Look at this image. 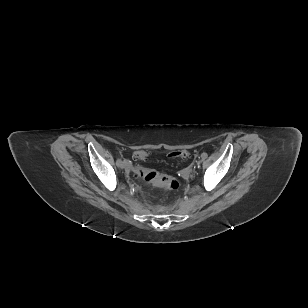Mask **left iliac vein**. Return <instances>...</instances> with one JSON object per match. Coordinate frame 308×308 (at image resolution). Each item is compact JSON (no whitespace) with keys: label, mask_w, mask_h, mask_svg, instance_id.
Wrapping results in <instances>:
<instances>
[{"label":"left iliac vein","mask_w":308,"mask_h":308,"mask_svg":"<svg viewBox=\"0 0 308 308\" xmlns=\"http://www.w3.org/2000/svg\"><path fill=\"white\" fill-rule=\"evenodd\" d=\"M202 162V159L197 160V164H200Z\"/></svg>","instance_id":"4c4485c4"}]
</instances>
